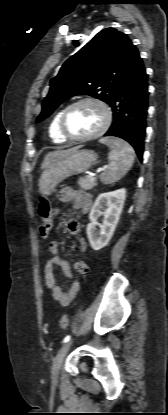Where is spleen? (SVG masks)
<instances>
[{"label": "spleen", "instance_id": "obj_1", "mask_svg": "<svg viewBox=\"0 0 168 415\" xmlns=\"http://www.w3.org/2000/svg\"><path fill=\"white\" fill-rule=\"evenodd\" d=\"M100 143L110 148L109 166L100 175L103 184L108 185L120 180L130 170L135 159L134 149L118 138H103Z\"/></svg>", "mask_w": 168, "mask_h": 415}]
</instances>
